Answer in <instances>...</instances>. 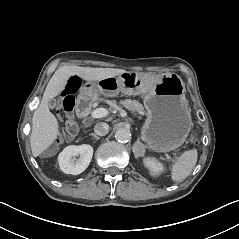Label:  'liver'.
Masks as SVG:
<instances>
[{"label": "liver", "instance_id": "obj_1", "mask_svg": "<svg viewBox=\"0 0 239 239\" xmlns=\"http://www.w3.org/2000/svg\"><path fill=\"white\" fill-rule=\"evenodd\" d=\"M126 72L115 68H90L80 66H62L56 70L44 91L39 107L34 111L32 117V132L30 145L34 157L39 156L57 138L58 122L50 112L48 101L57 96L66 85L71 75H78L86 81H98L100 79L115 77Z\"/></svg>", "mask_w": 239, "mask_h": 239}]
</instances>
